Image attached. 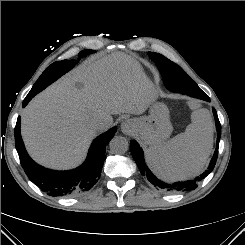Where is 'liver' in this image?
<instances>
[{
  "label": "liver",
  "mask_w": 245,
  "mask_h": 245,
  "mask_svg": "<svg viewBox=\"0 0 245 245\" xmlns=\"http://www.w3.org/2000/svg\"><path fill=\"white\" fill-rule=\"evenodd\" d=\"M150 89L141 68L124 53L96 56L38 94L24 109L21 134L31 157L46 167L78 165L111 115H140ZM107 125L98 128L97 121Z\"/></svg>",
  "instance_id": "obj_1"
}]
</instances>
